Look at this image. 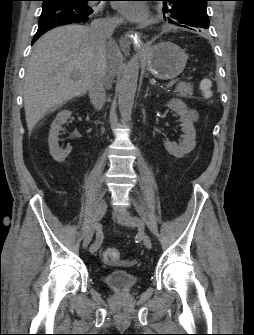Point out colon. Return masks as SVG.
<instances>
[{
    "label": "colon",
    "mask_w": 254,
    "mask_h": 335,
    "mask_svg": "<svg viewBox=\"0 0 254 335\" xmlns=\"http://www.w3.org/2000/svg\"><path fill=\"white\" fill-rule=\"evenodd\" d=\"M199 88L205 97H209L212 89V82L204 78L199 82ZM103 256L107 262L116 263L120 259V252L116 248H108L104 251Z\"/></svg>",
    "instance_id": "colon-1"
}]
</instances>
